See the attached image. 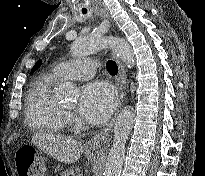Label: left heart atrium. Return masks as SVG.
<instances>
[{"label": "left heart atrium", "instance_id": "1", "mask_svg": "<svg viewBox=\"0 0 205 176\" xmlns=\"http://www.w3.org/2000/svg\"><path fill=\"white\" fill-rule=\"evenodd\" d=\"M115 103V92L108 83L91 81L81 90L78 111L87 121L100 124L109 118Z\"/></svg>", "mask_w": 205, "mask_h": 176}]
</instances>
